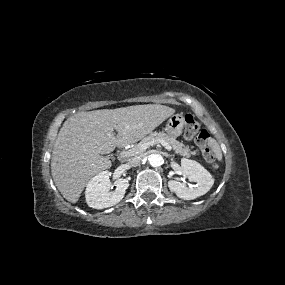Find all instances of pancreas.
<instances>
[{
  "label": "pancreas",
  "mask_w": 285,
  "mask_h": 285,
  "mask_svg": "<svg viewBox=\"0 0 285 285\" xmlns=\"http://www.w3.org/2000/svg\"><path fill=\"white\" fill-rule=\"evenodd\" d=\"M162 139L166 141L175 151L176 154L181 156L190 157L191 155H196V151H191L188 146H185L183 143L177 141L174 137L164 133V132H151L147 137L143 138L139 144L134 146L131 151H133L132 155L141 154L143 150L139 147L142 144L151 142L153 140Z\"/></svg>",
  "instance_id": "1"
}]
</instances>
